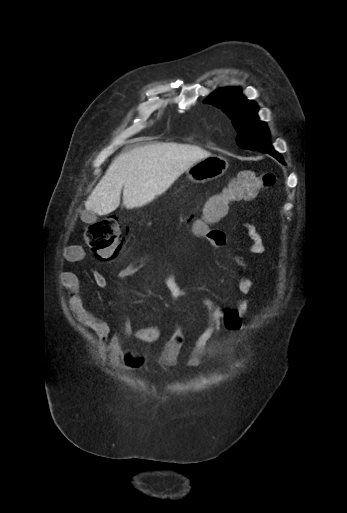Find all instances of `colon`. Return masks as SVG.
<instances>
[{
	"mask_svg": "<svg viewBox=\"0 0 347 513\" xmlns=\"http://www.w3.org/2000/svg\"><path fill=\"white\" fill-rule=\"evenodd\" d=\"M274 183L275 176L271 172H239L222 192L211 195L206 200L201 219L193 225L194 233L204 232L222 220L228 214L231 202L252 200ZM124 234V227L115 217L97 221L85 229L88 245L97 259L103 261H111L119 256L124 244Z\"/></svg>",
	"mask_w": 347,
	"mask_h": 513,
	"instance_id": "5ec220e1",
	"label": "colon"
}]
</instances>
